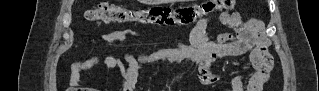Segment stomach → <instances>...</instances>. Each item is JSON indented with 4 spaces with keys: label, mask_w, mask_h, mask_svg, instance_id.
<instances>
[{
    "label": "stomach",
    "mask_w": 319,
    "mask_h": 91,
    "mask_svg": "<svg viewBox=\"0 0 319 91\" xmlns=\"http://www.w3.org/2000/svg\"><path fill=\"white\" fill-rule=\"evenodd\" d=\"M145 3H148V4H157V3H162V2H165L167 0H144Z\"/></svg>",
    "instance_id": "1"
}]
</instances>
